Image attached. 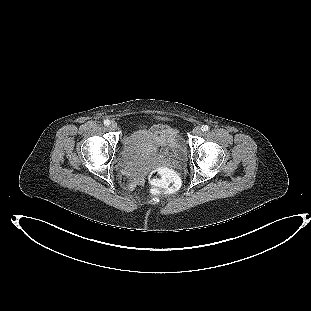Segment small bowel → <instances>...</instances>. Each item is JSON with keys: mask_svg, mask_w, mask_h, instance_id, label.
<instances>
[{"mask_svg": "<svg viewBox=\"0 0 311 311\" xmlns=\"http://www.w3.org/2000/svg\"><path fill=\"white\" fill-rule=\"evenodd\" d=\"M148 133L154 135L156 141L163 143H169L173 137L171 129L163 125L154 126L151 131H148Z\"/></svg>", "mask_w": 311, "mask_h": 311, "instance_id": "obj_1", "label": "small bowel"}]
</instances>
